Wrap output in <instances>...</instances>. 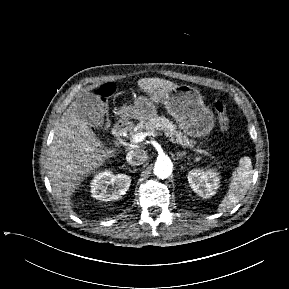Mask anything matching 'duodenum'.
I'll return each instance as SVG.
<instances>
[{
    "label": "duodenum",
    "mask_w": 289,
    "mask_h": 289,
    "mask_svg": "<svg viewBox=\"0 0 289 289\" xmlns=\"http://www.w3.org/2000/svg\"><path fill=\"white\" fill-rule=\"evenodd\" d=\"M129 122L126 120L118 121L113 127V135L117 142H120L129 129Z\"/></svg>",
    "instance_id": "410a0bca"
}]
</instances>
